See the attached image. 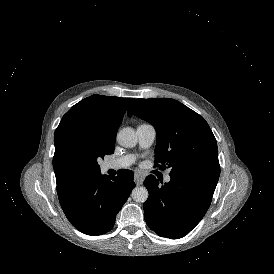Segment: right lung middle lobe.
I'll return each instance as SVG.
<instances>
[{"label": "right lung middle lobe", "mask_w": 274, "mask_h": 274, "mask_svg": "<svg viewBox=\"0 0 274 274\" xmlns=\"http://www.w3.org/2000/svg\"><path fill=\"white\" fill-rule=\"evenodd\" d=\"M113 152V141L104 138H95L83 146H69L64 153V159L73 168L84 173L92 174L100 171L97 160Z\"/></svg>", "instance_id": "dd1d6c3e"}]
</instances>
